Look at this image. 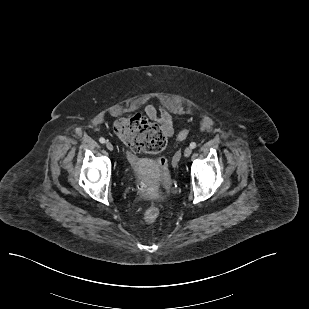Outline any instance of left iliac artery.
<instances>
[{
	"label": "left iliac artery",
	"instance_id": "1",
	"mask_svg": "<svg viewBox=\"0 0 309 309\" xmlns=\"http://www.w3.org/2000/svg\"><path fill=\"white\" fill-rule=\"evenodd\" d=\"M190 147H191L192 149H194V148L196 147V143H195V142H191V143H190Z\"/></svg>",
	"mask_w": 309,
	"mask_h": 309
}]
</instances>
